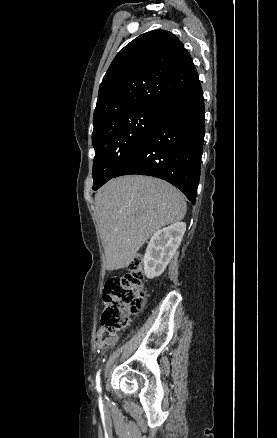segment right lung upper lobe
Here are the masks:
<instances>
[{"label": "right lung upper lobe", "instance_id": "cb5924a9", "mask_svg": "<svg viewBox=\"0 0 277 438\" xmlns=\"http://www.w3.org/2000/svg\"><path fill=\"white\" fill-rule=\"evenodd\" d=\"M164 64L172 69L161 70ZM198 82L192 58L174 34L165 30L144 33L126 45L107 70L99 88L94 124L115 115L162 109L168 100Z\"/></svg>", "mask_w": 277, "mask_h": 438}]
</instances>
